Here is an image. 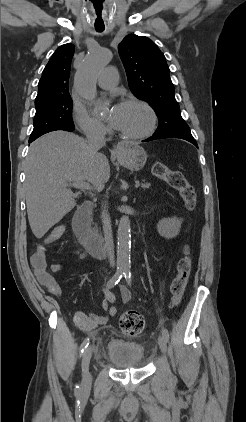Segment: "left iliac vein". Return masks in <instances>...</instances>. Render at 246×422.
I'll return each mask as SVG.
<instances>
[{
    "mask_svg": "<svg viewBox=\"0 0 246 422\" xmlns=\"http://www.w3.org/2000/svg\"><path fill=\"white\" fill-rule=\"evenodd\" d=\"M158 345L162 353H166L167 351V340L163 335L158 337Z\"/></svg>",
    "mask_w": 246,
    "mask_h": 422,
    "instance_id": "obj_1",
    "label": "left iliac vein"
}]
</instances>
